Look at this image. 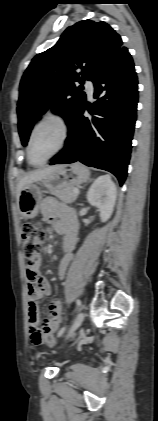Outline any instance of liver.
<instances>
[{
    "mask_svg": "<svg viewBox=\"0 0 158 421\" xmlns=\"http://www.w3.org/2000/svg\"><path fill=\"white\" fill-rule=\"evenodd\" d=\"M60 166L61 165L48 166V167H45V168H41V169L32 171V172L26 174L23 178H21L18 185H17V194H16L17 201L19 199L20 192L25 185H27L29 183H34L36 181H39V180L43 179L44 177L49 175L51 172H53L54 170H56Z\"/></svg>",
    "mask_w": 158,
    "mask_h": 421,
    "instance_id": "liver-1",
    "label": "liver"
}]
</instances>
